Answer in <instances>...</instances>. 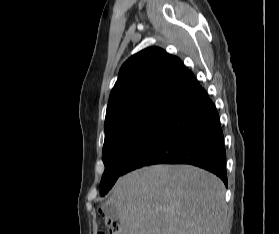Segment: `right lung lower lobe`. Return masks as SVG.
<instances>
[{
  "label": "right lung lower lobe",
  "mask_w": 279,
  "mask_h": 234,
  "mask_svg": "<svg viewBox=\"0 0 279 234\" xmlns=\"http://www.w3.org/2000/svg\"><path fill=\"white\" fill-rule=\"evenodd\" d=\"M159 163H184L206 169L227 186L226 153L219 115L196 82L172 104L134 151L123 174Z\"/></svg>",
  "instance_id": "98d812e1"
}]
</instances>
